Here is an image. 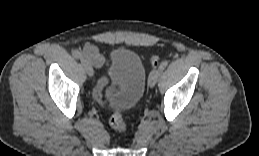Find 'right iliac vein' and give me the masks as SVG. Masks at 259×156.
<instances>
[{
    "label": "right iliac vein",
    "mask_w": 259,
    "mask_h": 156,
    "mask_svg": "<svg viewBox=\"0 0 259 156\" xmlns=\"http://www.w3.org/2000/svg\"><path fill=\"white\" fill-rule=\"evenodd\" d=\"M81 64L84 67L87 74L90 77H92L94 75V71H93V68H92L91 64L89 63V61L85 58H81Z\"/></svg>",
    "instance_id": "right-iliac-vein-1"
}]
</instances>
